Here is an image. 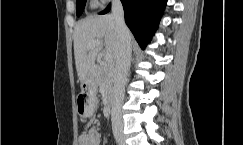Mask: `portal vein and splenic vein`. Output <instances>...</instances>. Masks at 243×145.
<instances>
[{"label": "portal vein and splenic vein", "mask_w": 243, "mask_h": 145, "mask_svg": "<svg viewBox=\"0 0 243 145\" xmlns=\"http://www.w3.org/2000/svg\"><path fill=\"white\" fill-rule=\"evenodd\" d=\"M95 46H102V42H100V41H94L93 43L90 44L89 47L92 48V47H95ZM104 59H105V61L107 63H110L111 64L113 62V57L109 53H105L104 54Z\"/></svg>", "instance_id": "18ae733b"}]
</instances>
